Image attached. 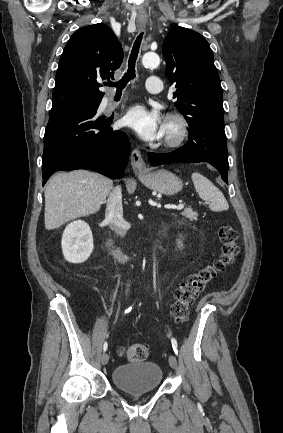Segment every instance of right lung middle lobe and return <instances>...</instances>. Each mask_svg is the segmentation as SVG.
<instances>
[{"label": "right lung middle lobe", "mask_w": 283, "mask_h": 433, "mask_svg": "<svg viewBox=\"0 0 283 433\" xmlns=\"http://www.w3.org/2000/svg\"><path fill=\"white\" fill-rule=\"evenodd\" d=\"M97 103H99V102H96V103H92V104H87V105L81 106V107H79V108H76V109H73V110H77V109H81V108H86V107H91V106H94V105H96ZM73 110H71V111H73Z\"/></svg>", "instance_id": "right-lung-middle-lobe-1"}]
</instances>
